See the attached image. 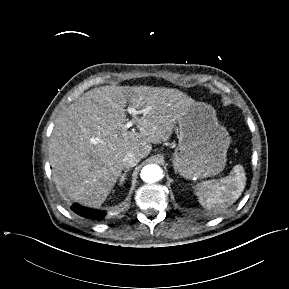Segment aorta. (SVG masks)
<instances>
[{"mask_svg":"<svg viewBox=\"0 0 289 289\" xmlns=\"http://www.w3.org/2000/svg\"><path fill=\"white\" fill-rule=\"evenodd\" d=\"M140 177L144 182L154 183L163 177V171L158 165H146L142 168Z\"/></svg>","mask_w":289,"mask_h":289,"instance_id":"obj_1","label":"aorta"}]
</instances>
